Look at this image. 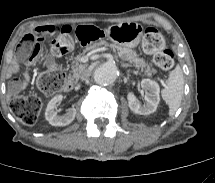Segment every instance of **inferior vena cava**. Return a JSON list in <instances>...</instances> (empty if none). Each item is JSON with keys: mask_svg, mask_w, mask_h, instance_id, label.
<instances>
[{"mask_svg": "<svg viewBox=\"0 0 215 183\" xmlns=\"http://www.w3.org/2000/svg\"><path fill=\"white\" fill-rule=\"evenodd\" d=\"M90 75H91V72L86 69L81 73L80 79L82 81L87 80L90 77Z\"/></svg>", "mask_w": 215, "mask_h": 183, "instance_id": "inferior-vena-cava-1", "label": "inferior vena cava"}]
</instances>
